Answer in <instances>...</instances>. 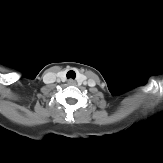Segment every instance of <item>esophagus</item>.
Instances as JSON below:
<instances>
[{"instance_id": "esophagus-1", "label": "esophagus", "mask_w": 163, "mask_h": 163, "mask_svg": "<svg viewBox=\"0 0 163 163\" xmlns=\"http://www.w3.org/2000/svg\"><path fill=\"white\" fill-rule=\"evenodd\" d=\"M68 84H69V85H74V84H75V81L72 80V79H70V80L68 81Z\"/></svg>"}]
</instances>
